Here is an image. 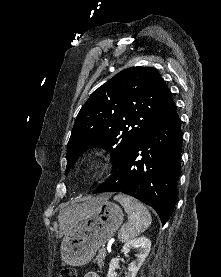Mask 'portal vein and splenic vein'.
<instances>
[{"mask_svg": "<svg viewBox=\"0 0 221 277\" xmlns=\"http://www.w3.org/2000/svg\"><path fill=\"white\" fill-rule=\"evenodd\" d=\"M101 250L106 251V248H105V247H102V249H101Z\"/></svg>", "mask_w": 221, "mask_h": 277, "instance_id": "portal-vein-and-splenic-vein-1", "label": "portal vein and splenic vein"}]
</instances>
